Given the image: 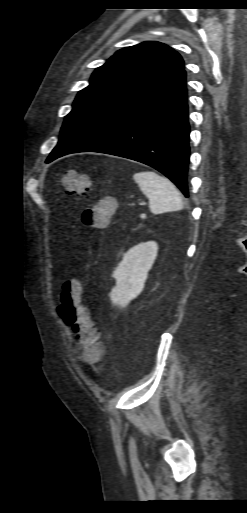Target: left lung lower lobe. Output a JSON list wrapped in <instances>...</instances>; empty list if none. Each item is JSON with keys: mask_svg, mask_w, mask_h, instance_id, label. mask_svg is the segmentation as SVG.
I'll list each match as a JSON object with an SVG mask.
<instances>
[{"mask_svg": "<svg viewBox=\"0 0 247 513\" xmlns=\"http://www.w3.org/2000/svg\"><path fill=\"white\" fill-rule=\"evenodd\" d=\"M186 72L99 117L60 142L47 163L66 154L100 152L147 164L188 197L189 133Z\"/></svg>", "mask_w": 247, "mask_h": 513, "instance_id": "1", "label": "left lung lower lobe"}]
</instances>
